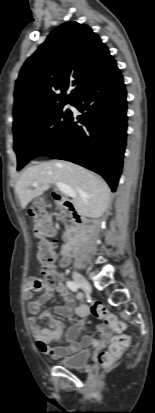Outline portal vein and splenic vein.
Wrapping results in <instances>:
<instances>
[{
    "instance_id": "1",
    "label": "portal vein and splenic vein",
    "mask_w": 155,
    "mask_h": 413,
    "mask_svg": "<svg viewBox=\"0 0 155 413\" xmlns=\"http://www.w3.org/2000/svg\"><path fill=\"white\" fill-rule=\"evenodd\" d=\"M55 184L57 185L58 189L62 192V194L71 196L73 198L76 196L74 190L70 186L62 182H56Z\"/></svg>"
}]
</instances>
